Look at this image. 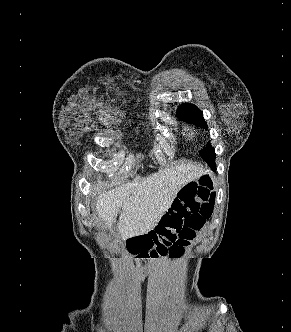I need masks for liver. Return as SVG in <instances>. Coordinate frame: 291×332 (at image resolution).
<instances>
[{"label":"liver","mask_w":291,"mask_h":332,"mask_svg":"<svg viewBox=\"0 0 291 332\" xmlns=\"http://www.w3.org/2000/svg\"><path fill=\"white\" fill-rule=\"evenodd\" d=\"M205 172L202 165L182 160L99 194L95 210L108 228L122 210L117 227L123 239L146 234L171 207L178 192Z\"/></svg>","instance_id":"obj_1"}]
</instances>
